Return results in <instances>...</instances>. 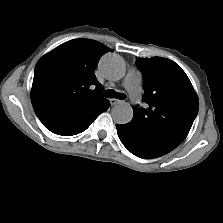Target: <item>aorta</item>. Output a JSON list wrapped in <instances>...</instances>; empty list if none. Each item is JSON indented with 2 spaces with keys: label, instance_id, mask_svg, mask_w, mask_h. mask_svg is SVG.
Masks as SVG:
<instances>
[{
  "label": "aorta",
  "instance_id": "762f6f07",
  "mask_svg": "<svg viewBox=\"0 0 223 223\" xmlns=\"http://www.w3.org/2000/svg\"><path fill=\"white\" fill-rule=\"evenodd\" d=\"M104 76L109 80H119L125 75L123 59L115 54H106L99 63ZM111 116L117 124H127L133 118V109L129 103L119 102L111 110Z\"/></svg>",
  "mask_w": 223,
  "mask_h": 223
}]
</instances>
